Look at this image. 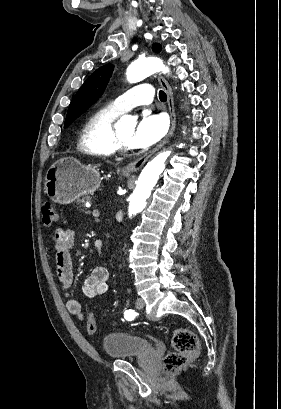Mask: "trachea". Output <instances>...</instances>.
Masks as SVG:
<instances>
[{
	"label": "trachea",
	"instance_id": "3493384b",
	"mask_svg": "<svg viewBox=\"0 0 281 409\" xmlns=\"http://www.w3.org/2000/svg\"><path fill=\"white\" fill-rule=\"evenodd\" d=\"M159 99L161 100V102H166L167 100V95L165 92H163V90H160L159 92Z\"/></svg>",
	"mask_w": 281,
	"mask_h": 409
}]
</instances>
